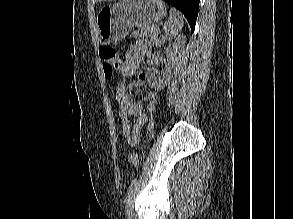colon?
<instances>
[{"mask_svg": "<svg viewBox=\"0 0 293 219\" xmlns=\"http://www.w3.org/2000/svg\"><path fill=\"white\" fill-rule=\"evenodd\" d=\"M106 77L111 78L117 71L120 58L117 52L110 47H102L99 51ZM129 163L136 164L139 160L137 153H131L128 157Z\"/></svg>", "mask_w": 293, "mask_h": 219, "instance_id": "obj_1", "label": "colon"}]
</instances>
